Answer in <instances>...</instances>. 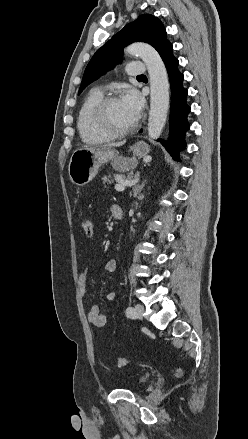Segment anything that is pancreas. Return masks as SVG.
<instances>
[{"mask_svg": "<svg viewBox=\"0 0 248 439\" xmlns=\"http://www.w3.org/2000/svg\"><path fill=\"white\" fill-rule=\"evenodd\" d=\"M129 177L130 176L128 175L127 178H129ZM125 178H126V176H124V175H118V174L111 175V174H109L108 176H104L102 178V180L104 183L105 182L112 183V182H114V180L119 182L121 179H125ZM122 181H125V180H122Z\"/></svg>", "mask_w": 248, "mask_h": 439, "instance_id": "cf45deb5", "label": "pancreas"}]
</instances>
